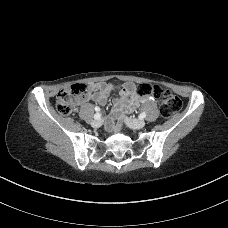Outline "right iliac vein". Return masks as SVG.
Returning a JSON list of instances; mask_svg holds the SVG:
<instances>
[{
  "label": "right iliac vein",
  "mask_w": 228,
  "mask_h": 228,
  "mask_svg": "<svg viewBox=\"0 0 228 228\" xmlns=\"http://www.w3.org/2000/svg\"><path fill=\"white\" fill-rule=\"evenodd\" d=\"M91 125H92V127H95V128L100 127L102 125V120H100V119L93 120L91 122Z\"/></svg>",
  "instance_id": "right-iliac-vein-1"
}]
</instances>
